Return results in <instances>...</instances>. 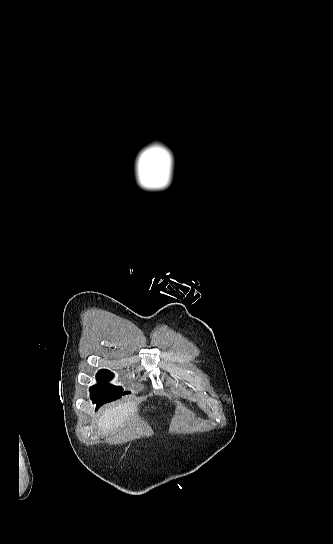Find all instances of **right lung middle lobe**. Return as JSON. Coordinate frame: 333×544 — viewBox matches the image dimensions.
Returning <instances> with one entry per match:
<instances>
[{"label": "right lung middle lobe", "instance_id": "right-lung-middle-lobe-1", "mask_svg": "<svg viewBox=\"0 0 333 544\" xmlns=\"http://www.w3.org/2000/svg\"><path fill=\"white\" fill-rule=\"evenodd\" d=\"M113 377V374L106 369L100 370L97 374L98 385L90 388L91 399L96 403V409L101 405L120 398L122 395L129 394L130 391L123 392L121 387L110 386L106 382Z\"/></svg>", "mask_w": 333, "mask_h": 544}]
</instances>
